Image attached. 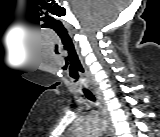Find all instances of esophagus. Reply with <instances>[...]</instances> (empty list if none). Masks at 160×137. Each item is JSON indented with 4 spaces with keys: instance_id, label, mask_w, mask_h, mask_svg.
Listing matches in <instances>:
<instances>
[{
    "instance_id": "obj_1",
    "label": "esophagus",
    "mask_w": 160,
    "mask_h": 137,
    "mask_svg": "<svg viewBox=\"0 0 160 137\" xmlns=\"http://www.w3.org/2000/svg\"><path fill=\"white\" fill-rule=\"evenodd\" d=\"M96 96H97V98L99 99V101L101 103L102 116H103V119H104L105 124L107 126L108 136L109 137H116L115 133H114L113 126H112L111 121H110L108 110H107L105 104L103 103L102 97L98 93H96Z\"/></svg>"
}]
</instances>
